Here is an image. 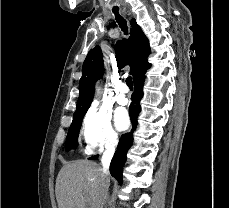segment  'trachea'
Returning a JSON list of instances; mask_svg holds the SVG:
<instances>
[{"label": "trachea", "instance_id": "trachea-1", "mask_svg": "<svg viewBox=\"0 0 229 208\" xmlns=\"http://www.w3.org/2000/svg\"><path fill=\"white\" fill-rule=\"evenodd\" d=\"M118 12H119L118 7H114L113 13L115 14L116 21H117L118 25L120 26L121 30L123 32H125V34H127L128 28H127L126 20L122 16H120ZM126 84L130 90H133L132 77L129 76L128 78H126Z\"/></svg>", "mask_w": 229, "mask_h": 208}]
</instances>
